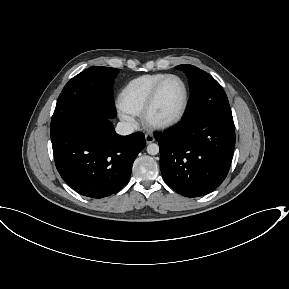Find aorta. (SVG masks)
I'll list each match as a JSON object with an SVG mask.
<instances>
[{"instance_id":"1","label":"aorta","mask_w":289,"mask_h":289,"mask_svg":"<svg viewBox=\"0 0 289 289\" xmlns=\"http://www.w3.org/2000/svg\"><path fill=\"white\" fill-rule=\"evenodd\" d=\"M147 153L150 155H156L159 153V145L156 143H151L147 146Z\"/></svg>"}]
</instances>
